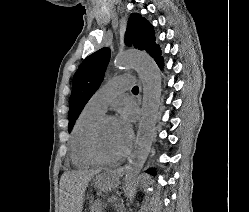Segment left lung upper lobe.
<instances>
[{
    "mask_svg": "<svg viewBox=\"0 0 249 212\" xmlns=\"http://www.w3.org/2000/svg\"><path fill=\"white\" fill-rule=\"evenodd\" d=\"M153 26L140 14H132L128 21L125 42L139 50H146L155 57L160 51L155 43ZM110 59V50L102 48L88 56L79 66L73 77L72 93L69 98V132L82 109L99 88Z\"/></svg>",
    "mask_w": 249,
    "mask_h": 212,
    "instance_id": "1",
    "label": "left lung upper lobe"
}]
</instances>
